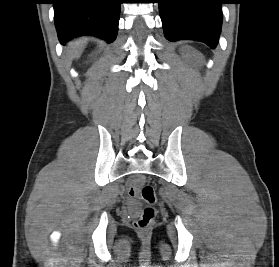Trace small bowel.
<instances>
[{"mask_svg":"<svg viewBox=\"0 0 279 267\" xmlns=\"http://www.w3.org/2000/svg\"><path fill=\"white\" fill-rule=\"evenodd\" d=\"M139 179H133L130 181V184H129V193L131 196H134L135 192H136V189H137V186L139 184Z\"/></svg>","mask_w":279,"mask_h":267,"instance_id":"1","label":"small bowel"}]
</instances>
